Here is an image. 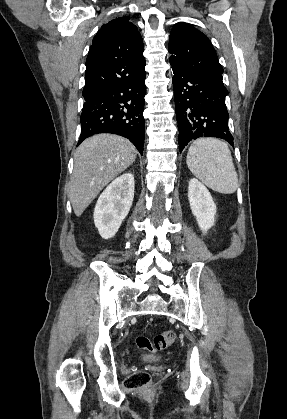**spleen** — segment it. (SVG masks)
Wrapping results in <instances>:
<instances>
[{
  "mask_svg": "<svg viewBox=\"0 0 287 419\" xmlns=\"http://www.w3.org/2000/svg\"><path fill=\"white\" fill-rule=\"evenodd\" d=\"M187 166L206 186L221 194H232L238 175L228 145L215 138L195 140L187 154Z\"/></svg>",
  "mask_w": 287,
  "mask_h": 419,
  "instance_id": "obj_1",
  "label": "spleen"
}]
</instances>
